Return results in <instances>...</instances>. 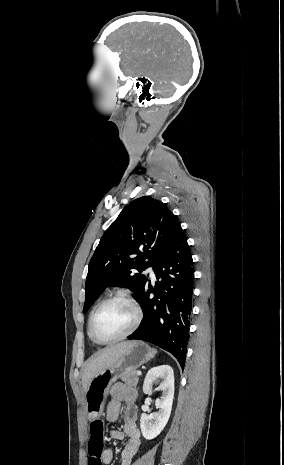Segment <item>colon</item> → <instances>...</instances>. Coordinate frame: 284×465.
Masks as SVG:
<instances>
[{"instance_id":"obj_1","label":"colon","mask_w":284,"mask_h":465,"mask_svg":"<svg viewBox=\"0 0 284 465\" xmlns=\"http://www.w3.org/2000/svg\"><path fill=\"white\" fill-rule=\"evenodd\" d=\"M90 429L87 431L89 440L88 450L89 456L87 458L88 465H102L101 462V448L105 447V438L107 433V426L102 421H91L89 424Z\"/></svg>"}]
</instances>
